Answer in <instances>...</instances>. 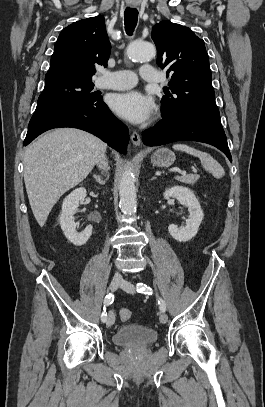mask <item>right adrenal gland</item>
Listing matches in <instances>:
<instances>
[{
  "instance_id": "1",
  "label": "right adrenal gland",
  "mask_w": 265,
  "mask_h": 407,
  "mask_svg": "<svg viewBox=\"0 0 265 407\" xmlns=\"http://www.w3.org/2000/svg\"><path fill=\"white\" fill-rule=\"evenodd\" d=\"M93 177L97 183H99L100 185H104L109 176L107 175L105 180L103 178H101V176L96 175V174H94Z\"/></svg>"
}]
</instances>
